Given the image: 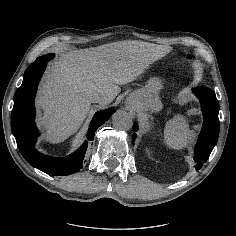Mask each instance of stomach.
Here are the masks:
<instances>
[{"label":"stomach","instance_id":"0dacf381","mask_svg":"<svg viewBox=\"0 0 236 236\" xmlns=\"http://www.w3.org/2000/svg\"><path fill=\"white\" fill-rule=\"evenodd\" d=\"M161 88L162 81L159 78H151L148 83L135 92L133 96L142 109L158 111L162 107L158 95Z\"/></svg>","mask_w":236,"mask_h":236}]
</instances>
